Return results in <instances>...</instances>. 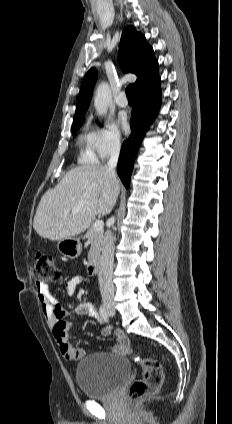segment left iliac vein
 <instances>
[{"label":"left iliac vein","instance_id":"obj_1","mask_svg":"<svg viewBox=\"0 0 232 424\" xmlns=\"http://www.w3.org/2000/svg\"><path fill=\"white\" fill-rule=\"evenodd\" d=\"M109 315L110 316H113L114 315V312L112 311V312H109Z\"/></svg>","mask_w":232,"mask_h":424}]
</instances>
